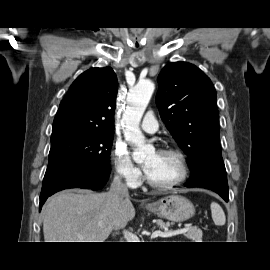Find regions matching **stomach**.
<instances>
[{
	"instance_id": "obj_1",
	"label": "stomach",
	"mask_w": 270,
	"mask_h": 270,
	"mask_svg": "<svg viewBox=\"0 0 270 270\" xmlns=\"http://www.w3.org/2000/svg\"><path fill=\"white\" fill-rule=\"evenodd\" d=\"M147 209L172 222H183L195 214L193 204L183 196L172 194L147 206Z\"/></svg>"
}]
</instances>
